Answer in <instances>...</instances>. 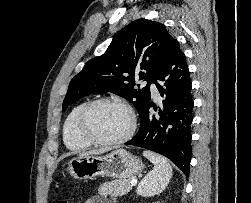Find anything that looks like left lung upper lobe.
Here are the masks:
<instances>
[{"instance_id":"left-lung-upper-lobe-1","label":"left lung upper lobe","mask_w":251,"mask_h":203,"mask_svg":"<svg viewBox=\"0 0 251 203\" xmlns=\"http://www.w3.org/2000/svg\"><path fill=\"white\" fill-rule=\"evenodd\" d=\"M174 42L159 22L147 19L131 22L114 36L103 55L89 60L71 80L62 111L87 95L111 92L130 101L140 115L150 101V84ZM136 79L147 81V85L136 90Z\"/></svg>"}]
</instances>
